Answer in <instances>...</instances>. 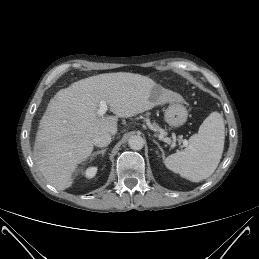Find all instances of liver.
I'll return each instance as SVG.
<instances>
[{
  "label": "liver",
  "instance_id": "liver-1",
  "mask_svg": "<svg viewBox=\"0 0 259 259\" xmlns=\"http://www.w3.org/2000/svg\"><path fill=\"white\" fill-rule=\"evenodd\" d=\"M147 76L105 73L88 77L61 89L40 120L34 144V160L46 181L57 190L73 183L78 164L93 152V139L103 132L117 133L118 118L132 117L167 102H183L178 93L154 91ZM104 100L116 116H98Z\"/></svg>",
  "mask_w": 259,
  "mask_h": 259
}]
</instances>
